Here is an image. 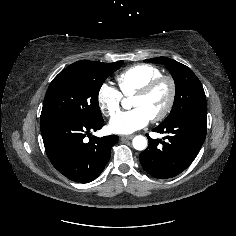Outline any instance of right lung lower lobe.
I'll return each mask as SVG.
<instances>
[{
  "instance_id": "obj_1",
  "label": "right lung lower lobe",
  "mask_w": 236,
  "mask_h": 236,
  "mask_svg": "<svg viewBox=\"0 0 236 236\" xmlns=\"http://www.w3.org/2000/svg\"><path fill=\"white\" fill-rule=\"evenodd\" d=\"M104 126L103 118L87 122L75 117L58 116L40 123L46 154L52 165L72 181L88 183L97 178L110 159L118 136L93 137L89 132Z\"/></svg>"
}]
</instances>
